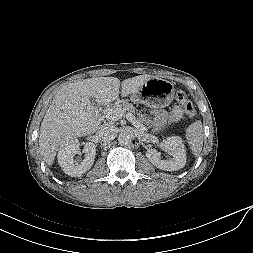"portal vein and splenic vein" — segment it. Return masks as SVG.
Instances as JSON below:
<instances>
[{"instance_id": "1", "label": "portal vein and splenic vein", "mask_w": 253, "mask_h": 253, "mask_svg": "<svg viewBox=\"0 0 253 253\" xmlns=\"http://www.w3.org/2000/svg\"><path fill=\"white\" fill-rule=\"evenodd\" d=\"M123 116L126 117V119L132 123L133 126H135L136 128H139L142 131H147V128L141 124L140 122H138L135 118V116L131 113H127L126 115H123L121 112L118 111H109L106 114V119L110 120V121H117L119 119H121Z\"/></svg>"}]
</instances>
